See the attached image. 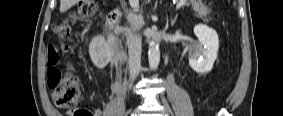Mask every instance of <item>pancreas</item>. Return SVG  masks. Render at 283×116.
<instances>
[{
	"label": "pancreas",
	"mask_w": 283,
	"mask_h": 116,
	"mask_svg": "<svg viewBox=\"0 0 283 116\" xmlns=\"http://www.w3.org/2000/svg\"><path fill=\"white\" fill-rule=\"evenodd\" d=\"M194 10L197 12L198 15L200 16H207L210 14L211 10L208 7L203 6L202 4H196L194 5ZM128 22L131 25V27L133 28V30H135L138 25H139V19L133 15H130L128 17ZM129 31L128 27H120L116 30L117 33L120 34H126Z\"/></svg>",
	"instance_id": "1"
}]
</instances>
